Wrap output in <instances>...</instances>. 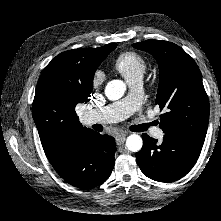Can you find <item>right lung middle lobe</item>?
Wrapping results in <instances>:
<instances>
[{"label":"right lung middle lobe","instance_id":"obj_1","mask_svg":"<svg viewBox=\"0 0 221 221\" xmlns=\"http://www.w3.org/2000/svg\"><path fill=\"white\" fill-rule=\"evenodd\" d=\"M117 44H109V47L106 50L105 56L104 58L107 57V55L116 48ZM103 58V59H104ZM102 62V60L94 67L92 74L88 73V79L91 78V80L93 79V75H94V71L97 69V67L100 65V63ZM91 76V77H90Z\"/></svg>","mask_w":221,"mask_h":221}]
</instances>
